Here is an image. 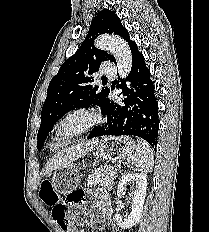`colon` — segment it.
<instances>
[{"instance_id":"colon-1","label":"colon","mask_w":209,"mask_h":232,"mask_svg":"<svg viewBox=\"0 0 209 232\" xmlns=\"http://www.w3.org/2000/svg\"><path fill=\"white\" fill-rule=\"evenodd\" d=\"M41 200L51 208L54 220L63 228L68 226L67 212L63 203L60 202L58 194L54 191L52 183L43 181L39 192Z\"/></svg>"}]
</instances>
